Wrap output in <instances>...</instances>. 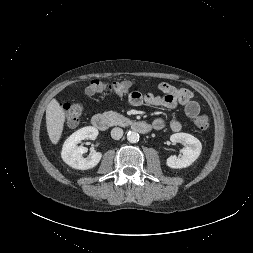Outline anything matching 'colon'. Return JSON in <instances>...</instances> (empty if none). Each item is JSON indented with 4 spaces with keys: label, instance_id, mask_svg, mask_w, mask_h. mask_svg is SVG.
<instances>
[{
    "label": "colon",
    "instance_id": "1",
    "mask_svg": "<svg viewBox=\"0 0 253 253\" xmlns=\"http://www.w3.org/2000/svg\"><path fill=\"white\" fill-rule=\"evenodd\" d=\"M131 86L132 82L130 80H118L112 83H107L99 79H93L89 82L86 88V93L92 95L104 91H110L117 95H123ZM62 108L66 124L69 126H75L82 116V105L79 103H64L62 104ZM194 122L199 129L205 130L209 127L210 119L207 114H200L195 118Z\"/></svg>",
    "mask_w": 253,
    "mask_h": 253
}]
</instances>
